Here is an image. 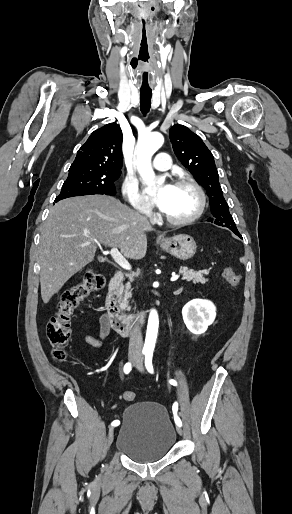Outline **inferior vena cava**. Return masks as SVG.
Instances as JSON below:
<instances>
[{
    "label": "inferior vena cava",
    "mask_w": 292,
    "mask_h": 514,
    "mask_svg": "<svg viewBox=\"0 0 292 514\" xmlns=\"http://www.w3.org/2000/svg\"><path fill=\"white\" fill-rule=\"evenodd\" d=\"M143 338L139 326H135L130 334L129 352L135 356H142Z\"/></svg>",
    "instance_id": "inferior-vena-cava-1"
}]
</instances>
